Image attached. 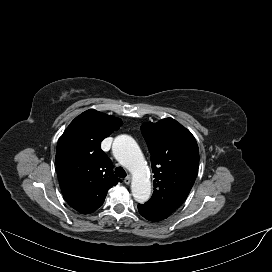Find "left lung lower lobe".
<instances>
[{
  "label": "left lung lower lobe",
  "instance_id": "obj_1",
  "mask_svg": "<svg viewBox=\"0 0 272 272\" xmlns=\"http://www.w3.org/2000/svg\"><path fill=\"white\" fill-rule=\"evenodd\" d=\"M138 210H139V213L144 218H146L147 220H150V221H161V220L165 219L164 217L156 214L155 212L149 210L148 208H146L145 206H143L141 204L138 205Z\"/></svg>",
  "mask_w": 272,
  "mask_h": 272
}]
</instances>
